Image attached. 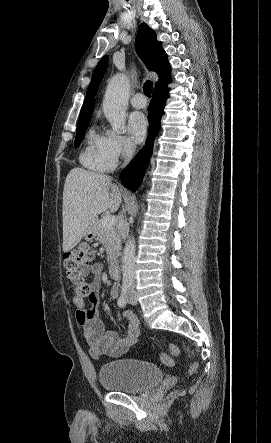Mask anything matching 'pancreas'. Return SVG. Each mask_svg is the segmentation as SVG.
Segmentation results:
<instances>
[{
  "mask_svg": "<svg viewBox=\"0 0 271 443\" xmlns=\"http://www.w3.org/2000/svg\"><path fill=\"white\" fill-rule=\"evenodd\" d=\"M102 220H96L95 229L97 231V239H99L100 243L105 245L109 255L108 261L117 255L118 251L121 249V243L119 239V235L116 229H104L102 225Z\"/></svg>",
  "mask_w": 271,
  "mask_h": 443,
  "instance_id": "cf45deb5",
  "label": "pancreas"
}]
</instances>
